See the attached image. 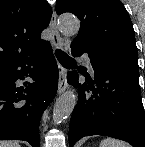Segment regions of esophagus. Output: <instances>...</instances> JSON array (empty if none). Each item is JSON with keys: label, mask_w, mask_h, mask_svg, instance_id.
Segmentation results:
<instances>
[{"label": "esophagus", "mask_w": 145, "mask_h": 147, "mask_svg": "<svg viewBox=\"0 0 145 147\" xmlns=\"http://www.w3.org/2000/svg\"><path fill=\"white\" fill-rule=\"evenodd\" d=\"M49 30L52 36V43L56 48L64 49V42L61 38L57 29V16L55 11L52 14ZM67 88L66 73L62 66H59V84H58V94H62Z\"/></svg>", "instance_id": "1"}]
</instances>
